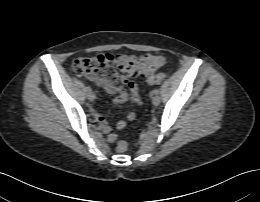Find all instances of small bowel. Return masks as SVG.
<instances>
[{
	"instance_id": "small-bowel-1",
	"label": "small bowel",
	"mask_w": 260,
	"mask_h": 202,
	"mask_svg": "<svg viewBox=\"0 0 260 202\" xmlns=\"http://www.w3.org/2000/svg\"><path fill=\"white\" fill-rule=\"evenodd\" d=\"M129 92H127L125 85H116L113 83L110 84H105L103 85V88L106 92L111 93V94H116V97L114 98L113 102L115 104H124L127 101H130L134 104H140L141 103V97H140V88L139 86L132 82L130 85H127ZM94 118L96 122L99 124L101 130L105 133L111 132V126L106 122L105 118L97 113H93ZM136 117V112L135 111H130L127 115L128 120H133ZM126 120H120L117 122L116 127L118 129H123L126 127ZM116 140V135L115 134H110L108 136V141L109 142H114Z\"/></svg>"
}]
</instances>
